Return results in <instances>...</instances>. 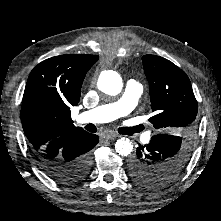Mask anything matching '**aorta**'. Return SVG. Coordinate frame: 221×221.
Wrapping results in <instances>:
<instances>
[{
    "instance_id": "1",
    "label": "aorta",
    "mask_w": 221,
    "mask_h": 221,
    "mask_svg": "<svg viewBox=\"0 0 221 221\" xmlns=\"http://www.w3.org/2000/svg\"><path fill=\"white\" fill-rule=\"evenodd\" d=\"M123 83L120 75L112 70L101 72L98 78L99 89L111 96L120 93ZM115 150L121 156H128L133 150L132 141L128 138H120L115 143Z\"/></svg>"
}]
</instances>
